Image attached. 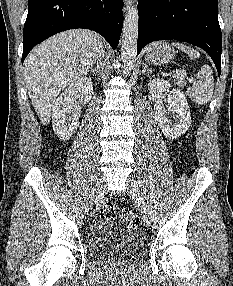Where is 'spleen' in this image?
I'll return each instance as SVG.
<instances>
[{"label": "spleen", "mask_w": 233, "mask_h": 286, "mask_svg": "<svg viewBox=\"0 0 233 286\" xmlns=\"http://www.w3.org/2000/svg\"><path fill=\"white\" fill-rule=\"evenodd\" d=\"M172 45L188 54L191 59L200 57L199 52L190 46L178 42L172 43ZM213 91L214 78L212 69L209 65H204L197 74V80L187 89V94L193 102L204 105L211 100Z\"/></svg>", "instance_id": "1"}]
</instances>
